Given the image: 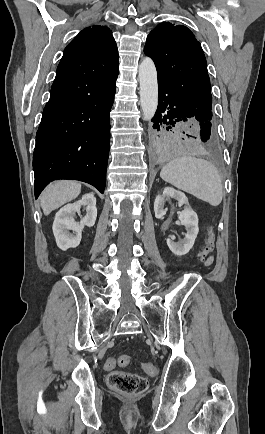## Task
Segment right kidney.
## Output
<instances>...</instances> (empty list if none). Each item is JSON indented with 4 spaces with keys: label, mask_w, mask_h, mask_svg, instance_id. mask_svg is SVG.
<instances>
[{
    "label": "right kidney",
    "mask_w": 265,
    "mask_h": 434,
    "mask_svg": "<svg viewBox=\"0 0 265 434\" xmlns=\"http://www.w3.org/2000/svg\"><path fill=\"white\" fill-rule=\"evenodd\" d=\"M82 206H87V214L84 218H81V222H75L74 216L76 212L80 214V208H82ZM96 218V198H94L93 192L84 194L82 200H78V202H74V204H66L64 208H61V210L57 212L52 226L58 248L63 250V252H66L68 248H77L81 242V234L84 226L92 228L96 222ZM70 230H72L75 236L70 234Z\"/></svg>",
    "instance_id": "obj_1"
}]
</instances>
